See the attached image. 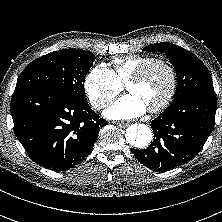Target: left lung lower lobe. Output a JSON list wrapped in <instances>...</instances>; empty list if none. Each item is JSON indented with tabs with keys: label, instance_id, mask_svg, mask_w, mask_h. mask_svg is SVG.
<instances>
[{
	"label": "left lung lower lobe",
	"instance_id": "1",
	"mask_svg": "<svg viewBox=\"0 0 222 222\" xmlns=\"http://www.w3.org/2000/svg\"><path fill=\"white\" fill-rule=\"evenodd\" d=\"M217 101L193 96L169 106L151 122L154 140L144 150L132 149L136 159L156 171H167L194 158L215 125Z\"/></svg>",
	"mask_w": 222,
	"mask_h": 222
}]
</instances>
